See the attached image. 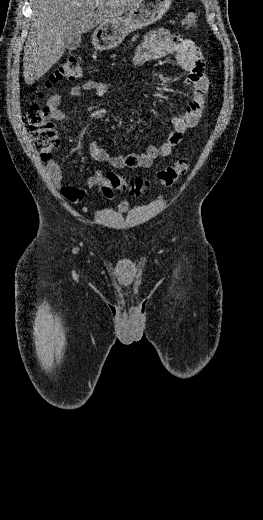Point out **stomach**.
<instances>
[{"label":"stomach","instance_id":"stomach-1","mask_svg":"<svg viewBox=\"0 0 263 520\" xmlns=\"http://www.w3.org/2000/svg\"><path fill=\"white\" fill-rule=\"evenodd\" d=\"M172 0H140L126 16L102 23L92 35L97 50L105 51L117 47L133 31L151 25L169 10Z\"/></svg>","mask_w":263,"mask_h":520}]
</instances>
